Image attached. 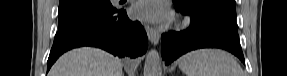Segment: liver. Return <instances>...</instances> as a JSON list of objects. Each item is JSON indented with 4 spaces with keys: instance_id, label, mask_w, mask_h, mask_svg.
I'll return each mask as SVG.
<instances>
[{
    "instance_id": "1",
    "label": "liver",
    "mask_w": 287,
    "mask_h": 76,
    "mask_svg": "<svg viewBox=\"0 0 287 76\" xmlns=\"http://www.w3.org/2000/svg\"><path fill=\"white\" fill-rule=\"evenodd\" d=\"M122 61L94 47H82L62 55L48 76H122Z\"/></svg>"
}]
</instances>
